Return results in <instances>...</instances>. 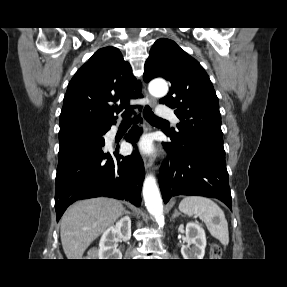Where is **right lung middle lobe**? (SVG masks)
Wrapping results in <instances>:
<instances>
[{"label":"right lung middle lobe","instance_id":"dd1d6c3e","mask_svg":"<svg viewBox=\"0 0 287 287\" xmlns=\"http://www.w3.org/2000/svg\"><path fill=\"white\" fill-rule=\"evenodd\" d=\"M104 129L105 126L86 122H77L61 126L59 131V144L63 145L78 140L98 141Z\"/></svg>","mask_w":287,"mask_h":287}]
</instances>
